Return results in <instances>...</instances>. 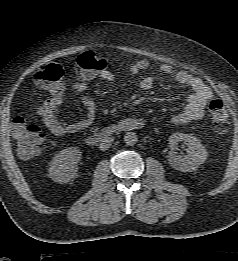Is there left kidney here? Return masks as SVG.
I'll return each instance as SVG.
<instances>
[{"label": "left kidney", "mask_w": 238, "mask_h": 261, "mask_svg": "<svg viewBox=\"0 0 238 261\" xmlns=\"http://www.w3.org/2000/svg\"><path fill=\"white\" fill-rule=\"evenodd\" d=\"M184 141L187 146V155H177L175 149L178 142ZM170 151L167 160L170 166L181 172L195 171L201 164H203L208 156L205 147L200 141L189 134L174 133L169 137Z\"/></svg>", "instance_id": "left-kidney-1"}]
</instances>
